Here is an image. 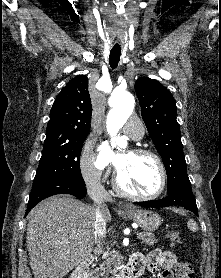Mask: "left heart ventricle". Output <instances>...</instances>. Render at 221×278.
<instances>
[{
  "label": "left heart ventricle",
  "mask_w": 221,
  "mask_h": 278,
  "mask_svg": "<svg viewBox=\"0 0 221 278\" xmlns=\"http://www.w3.org/2000/svg\"><path fill=\"white\" fill-rule=\"evenodd\" d=\"M120 155L122 162L118 171L122 185L138 194L154 193L160 183V171L156 161L130 151H123Z\"/></svg>",
  "instance_id": "obj_1"
}]
</instances>
